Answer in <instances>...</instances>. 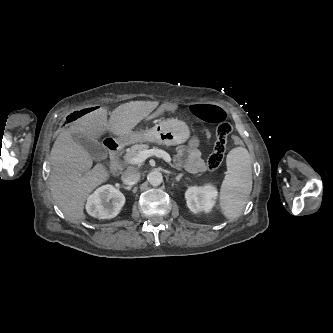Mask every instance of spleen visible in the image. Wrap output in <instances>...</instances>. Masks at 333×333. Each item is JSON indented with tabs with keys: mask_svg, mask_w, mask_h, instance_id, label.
<instances>
[{
	"mask_svg": "<svg viewBox=\"0 0 333 333\" xmlns=\"http://www.w3.org/2000/svg\"><path fill=\"white\" fill-rule=\"evenodd\" d=\"M251 156L244 147L232 149L226 159L227 175L220 191V207L229 220L243 212L252 190Z\"/></svg>",
	"mask_w": 333,
	"mask_h": 333,
	"instance_id": "obj_1",
	"label": "spleen"
}]
</instances>
